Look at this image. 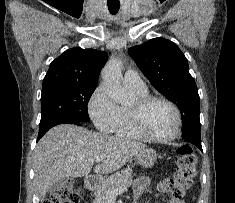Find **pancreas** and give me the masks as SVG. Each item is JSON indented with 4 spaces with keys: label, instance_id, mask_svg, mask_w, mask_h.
<instances>
[{
    "label": "pancreas",
    "instance_id": "cf45deb5",
    "mask_svg": "<svg viewBox=\"0 0 235 203\" xmlns=\"http://www.w3.org/2000/svg\"><path fill=\"white\" fill-rule=\"evenodd\" d=\"M132 174V169L126 168L103 181L94 192L93 203H109L107 192L130 187L132 184Z\"/></svg>",
    "mask_w": 235,
    "mask_h": 203
}]
</instances>
